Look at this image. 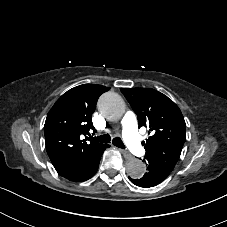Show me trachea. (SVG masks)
Masks as SVG:
<instances>
[{"instance_id": "obj_1", "label": "trachea", "mask_w": 227, "mask_h": 227, "mask_svg": "<svg viewBox=\"0 0 227 227\" xmlns=\"http://www.w3.org/2000/svg\"><path fill=\"white\" fill-rule=\"evenodd\" d=\"M95 140L100 142V143H108L111 140V136L109 134H104V135H101V136H97L95 138ZM112 142H113V145L124 149V144L119 137H113Z\"/></svg>"}]
</instances>
